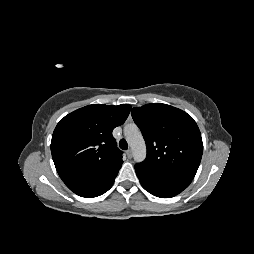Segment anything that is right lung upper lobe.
I'll use <instances>...</instances> for the list:
<instances>
[{
  "label": "right lung upper lobe",
  "instance_id": "obj_1",
  "mask_svg": "<svg viewBox=\"0 0 254 254\" xmlns=\"http://www.w3.org/2000/svg\"><path fill=\"white\" fill-rule=\"evenodd\" d=\"M130 110L129 104H92L59 121L52 135L51 153L63 182L121 167L122 156L112 131L124 123Z\"/></svg>",
  "mask_w": 254,
  "mask_h": 254
}]
</instances>
